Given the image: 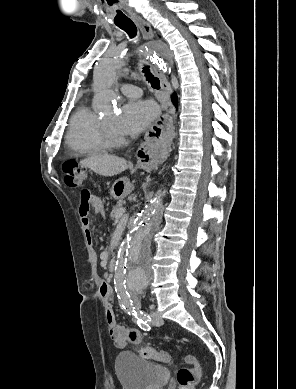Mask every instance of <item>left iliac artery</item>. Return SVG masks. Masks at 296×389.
<instances>
[{"instance_id":"44dca946","label":"left iliac artery","mask_w":296,"mask_h":389,"mask_svg":"<svg viewBox=\"0 0 296 389\" xmlns=\"http://www.w3.org/2000/svg\"><path fill=\"white\" fill-rule=\"evenodd\" d=\"M126 294L129 296V294L127 292H126ZM126 307L128 309V313L132 314L134 316L138 326L145 331H149L150 326L148 323H149V321H151L150 316L148 314H146L145 312L141 311L140 307L133 305L132 301L130 303V306L128 303V304H126Z\"/></svg>"}]
</instances>
